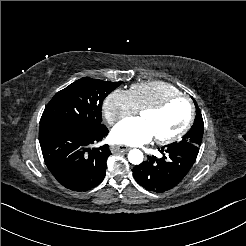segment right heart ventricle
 <instances>
[{
  "instance_id": "obj_1",
  "label": "right heart ventricle",
  "mask_w": 246,
  "mask_h": 246,
  "mask_svg": "<svg viewBox=\"0 0 246 246\" xmlns=\"http://www.w3.org/2000/svg\"><path fill=\"white\" fill-rule=\"evenodd\" d=\"M129 93L136 111H140L179 93V91L171 84L157 81L134 84L130 87Z\"/></svg>"
}]
</instances>
